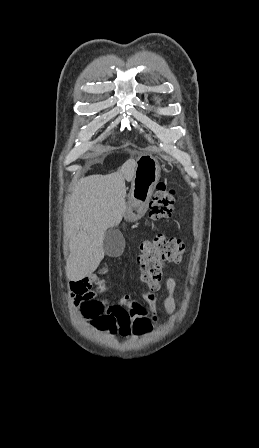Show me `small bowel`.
Returning a JSON list of instances; mask_svg holds the SVG:
<instances>
[{"label": "small bowel", "instance_id": "1", "mask_svg": "<svg viewBox=\"0 0 259 448\" xmlns=\"http://www.w3.org/2000/svg\"><path fill=\"white\" fill-rule=\"evenodd\" d=\"M96 286L97 289L93 287ZM168 296L164 300V308L168 317L174 318L178 312V304L174 297L176 282L173 278L166 281ZM105 286L97 273L90 274L72 282L70 296L73 304L79 308L86 320L95 328L110 335H142L149 332L157 321L156 308L158 299L153 293L144 296V303L123 296L117 302L99 297V291Z\"/></svg>", "mask_w": 259, "mask_h": 448}]
</instances>
